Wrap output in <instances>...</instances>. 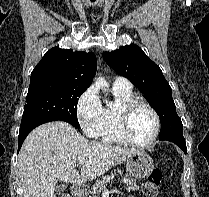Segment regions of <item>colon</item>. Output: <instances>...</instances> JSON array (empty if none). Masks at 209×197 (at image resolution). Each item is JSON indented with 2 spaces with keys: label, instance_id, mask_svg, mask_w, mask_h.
Listing matches in <instances>:
<instances>
[{
  "label": "colon",
  "instance_id": "5ec220e1",
  "mask_svg": "<svg viewBox=\"0 0 209 197\" xmlns=\"http://www.w3.org/2000/svg\"><path fill=\"white\" fill-rule=\"evenodd\" d=\"M163 179V174L160 170H153L148 178V180L143 184L142 191L146 197H157L159 193V188ZM62 197H69V195L64 194Z\"/></svg>",
  "mask_w": 209,
  "mask_h": 197
}]
</instances>
